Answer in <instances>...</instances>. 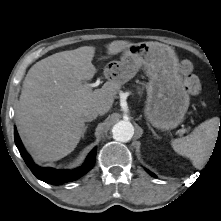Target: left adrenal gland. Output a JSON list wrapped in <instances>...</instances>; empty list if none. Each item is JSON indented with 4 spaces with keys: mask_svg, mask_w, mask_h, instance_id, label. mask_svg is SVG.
Masks as SVG:
<instances>
[{
    "mask_svg": "<svg viewBox=\"0 0 221 221\" xmlns=\"http://www.w3.org/2000/svg\"><path fill=\"white\" fill-rule=\"evenodd\" d=\"M147 125H148L149 129L152 131L153 135H154L156 138H160V137L156 134V132L154 131V129H153L149 124H147Z\"/></svg>",
    "mask_w": 221,
    "mask_h": 221,
    "instance_id": "obj_1",
    "label": "left adrenal gland"
}]
</instances>
